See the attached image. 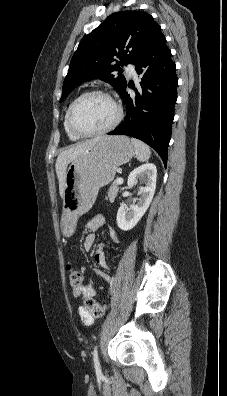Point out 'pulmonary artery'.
Returning <instances> with one entry per match:
<instances>
[{
  "label": "pulmonary artery",
  "mask_w": 227,
  "mask_h": 396,
  "mask_svg": "<svg viewBox=\"0 0 227 396\" xmlns=\"http://www.w3.org/2000/svg\"><path fill=\"white\" fill-rule=\"evenodd\" d=\"M127 73L130 76H135L136 75V70H135V66L133 64H128L126 67Z\"/></svg>",
  "instance_id": "e3ab8cb5"
}]
</instances>
